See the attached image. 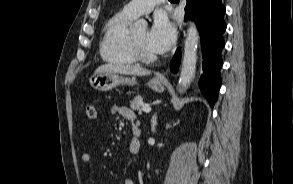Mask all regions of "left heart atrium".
<instances>
[{
	"label": "left heart atrium",
	"mask_w": 293,
	"mask_h": 184,
	"mask_svg": "<svg viewBox=\"0 0 293 184\" xmlns=\"http://www.w3.org/2000/svg\"><path fill=\"white\" fill-rule=\"evenodd\" d=\"M175 41V29L164 17H157L149 31L146 42L148 47L155 53L161 54L170 49Z\"/></svg>",
	"instance_id": "obj_1"
}]
</instances>
